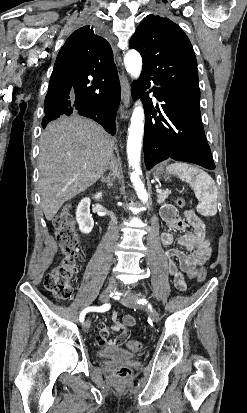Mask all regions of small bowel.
<instances>
[{
  "label": "small bowel",
  "instance_id": "c3829d8e",
  "mask_svg": "<svg viewBox=\"0 0 247 413\" xmlns=\"http://www.w3.org/2000/svg\"><path fill=\"white\" fill-rule=\"evenodd\" d=\"M162 219L169 229H179L185 231L188 227L192 228V232H185L179 237H176L171 232L161 234V243L164 246H169L174 242L183 248L187 253L178 249L168 250L165 254L167 259V269L173 277V283L177 290L184 291L187 287V277L197 276V269L204 263V253L209 249L210 244L206 238V227L201 218L193 211L186 210L182 217L178 218L173 207L165 206L161 211ZM112 330L119 332L115 336V340L109 342L111 349L127 348V338H130L132 332L130 328L135 325V318L132 315L126 314L122 321L116 313L111 315ZM95 329L98 331L100 338L109 336L108 324L106 322H97ZM98 349H106L108 342L106 340H98L96 342Z\"/></svg>",
  "mask_w": 247,
  "mask_h": 413
}]
</instances>
